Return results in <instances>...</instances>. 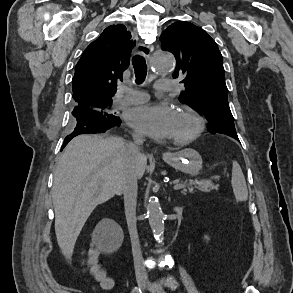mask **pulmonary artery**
Instances as JSON below:
<instances>
[{
	"label": "pulmonary artery",
	"mask_w": 293,
	"mask_h": 293,
	"mask_svg": "<svg viewBox=\"0 0 293 293\" xmlns=\"http://www.w3.org/2000/svg\"><path fill=\"white\" fill-rule=\"evenodd\" d=\"M155 88L159 93H166L173 89V83L167 79L158 80L155 84ZM119 94L120 101L123 104L142 103L145 102L149 97L145 92L137 91L126 86H122L119 89Z\"/></svg>",
	"instance_id": "pulmonary-artery-1"
}]
</instances>
